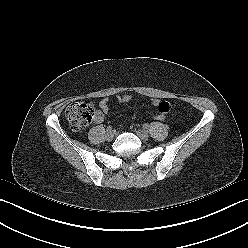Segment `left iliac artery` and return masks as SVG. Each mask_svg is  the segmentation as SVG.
Wrapping results in <instances>:
<instances>
[{"mask_svg": "<svg viewBox=\"0 0 248 248\" xmlns=\"http://www.w3.org/2000/svg\"><path fill=\"white\" fill-rule=\"evenodd\" d=\"M143 128H144L145 130H148V125H147V124H144V125H143Z\"/></svg>", "mask_w": 248, "mask_h": 248, "instance_id": "1", "label": "left iliac artery"}]
</instances>
